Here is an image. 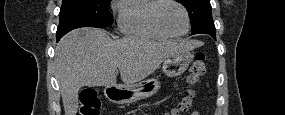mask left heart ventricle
<instances>
[{
    "label": "left heart ventricle",
    "instance_id": "left-heart-ventricle-1",
    "mask_svg": "<svg viewBox=\"0 0 285 115\" xmlns=\"http://www.w3.org/2000/svg\"><path fill=\"white\" fill-rule=\"evenodd\" d=\"M160 21L173 34H180L186 28V19L183 10L173 3H167L161 7Z\"/></svg>",
    "mask_w": 285,
    "mask_h": 115
}]
</instances>
